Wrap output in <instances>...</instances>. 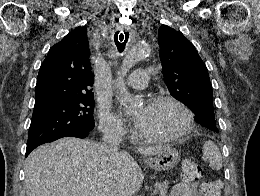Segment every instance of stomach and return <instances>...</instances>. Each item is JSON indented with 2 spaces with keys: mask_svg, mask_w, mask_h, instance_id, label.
Here are the masks:
<instances>
[{
  "mask_svg": "<svg viewBox=\"0 0 260 196\" xmlns=\"http://www.w3.org/2000/svg\"><path fill=\"white\" fill-rule=\"evenodd\" d=\"M178 162H180V152L172 146H163V150L155 158L146 160V166L158 172H166V170H173Z\"/></svg>",
  "mask_w": 260,
  "mask_h": 196,
  "instance_id": "0dacf381",
  "label": "stomach"
}]
</instances>
